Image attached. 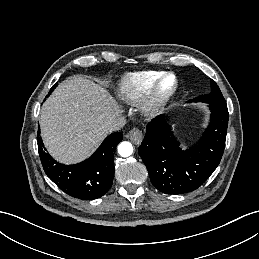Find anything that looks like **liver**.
<instances>
[{"mask_svg": "<svg viewBox=\"0 0 259 259\" xmlns=\"http://www.w3.org/2000/svg\"><path fill=\"white\" fill-rule=\"evenodd\" d=\"M120 113L106 89L81 75L69 77L42 106L43 142L57 161L78 163L96 150L110 133L108 124Z\"/></svg>", "mask_w": 259, "mask_h": 259, "instance_id": "1", "label": "liver"}]
</instances>
